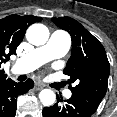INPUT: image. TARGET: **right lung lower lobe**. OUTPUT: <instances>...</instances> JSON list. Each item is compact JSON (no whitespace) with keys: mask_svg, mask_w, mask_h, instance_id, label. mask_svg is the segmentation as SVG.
Returning a JSON list of instances; mask_svg holds the SVG:
<instances>
[{"mask_svg":"<svg viewBox=\"0 0 117 117\" xmlns=\"http://www.w3.org/2000/svg\"><path fill=\"white\" fill-rule=\"evenodd\" d=\"M34 82L28 79L26 82L17 83L7 80L0 85V117H14L17 108V97L33 88Z\"/></svg>","mask_w":117,"mask_h":117,"instance_id":"1","label":"right lung lower lobe"}]
</instances>
